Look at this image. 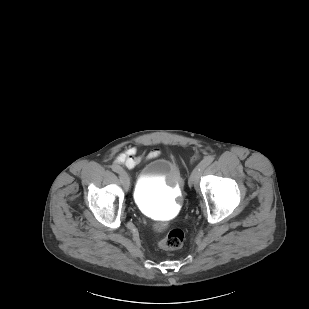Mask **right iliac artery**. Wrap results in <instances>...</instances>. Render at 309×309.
I'll use <instances>...</instances> for the list:
<instances>
[{
  "label": "right iliac artery",
  "instance_id": "82829eb1",
  "mask_svg": "<svg viewBox=\"0 0 309 309\" xmlns=\"http://www.w3.org/2000/svg\"><path fill=\"white\" fill-rule=\"evenodd\" d=\"M111 168H112V170H113L114 172H117V173H119L120 170H121V167L118 166V165H115V164H113V165L111 166ZM123 173H124V172H123Z\"/></svg>",
  "mask_w": 309,
  "mask_h": 309
}]
</instances>
